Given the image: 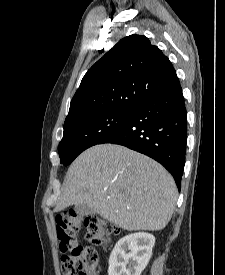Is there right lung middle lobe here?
<instances>
[{"mask_svg":"<svg viewBox=\"0 0 225 275\" xmlns=\"http://www.w3.org/2000/svg\"><path fill=\"white\" fill-rule=\"evenodd\" d=\"M132 110L102 112L76 119L64 125L58 146L60 162L70 164L85 149L99 144L129 117Z\"/></svg>","mask_w":225,"mask_h":275,"instance_id":"right-lung-middle-lobe-1","label":"right lung middle lobe"}]
</instances>
